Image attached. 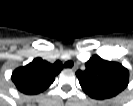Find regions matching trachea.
<instances>
[{
  "mask_svg": "<svg viewBox=\"0 0 133 106\" xmlns=\"http://www.w3.org/2000/svg\"><path fill=\"white\" fill-rule=\"evenodd\" d=\"M64 67H68V68L73 67V62L72 61L65 62Z\"/></svg>",
  "mask_w": 133,
  "mask_h": 106,
  "instance_id": "obj_1",
  "label": "trachea"
}]
</instances>
